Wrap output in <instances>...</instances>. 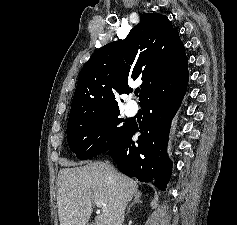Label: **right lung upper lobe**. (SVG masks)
<instances>
[{
	"label": "right lung upper lobe",
	"mask_w": 237,
	"mask_h": 225,
	"mask_svg": "<svg viewBox=\"0 0 237 225\" xmlns=\"http://www.w3.org/2000/svg\"><path fill=\"white\" fill-rule=\"evenodd\" d=\"M187 64L184 45L168 18L145 14L124 40L101 47L83 66L69 119L82 121L118 109L116 97L132 91L131 80L143 81L141 101L162 84L186 81Z\"/></svg>",
	"instance_id": "right-lung-upper-lobe-1"
}]
</instances>
